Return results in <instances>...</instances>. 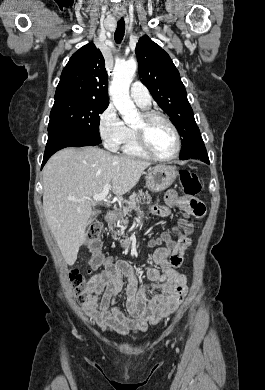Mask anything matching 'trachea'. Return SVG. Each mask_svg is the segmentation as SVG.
Segmentation results:
<instances>
[{
	"label": "trachea",
	"instance_id": "trachea-1",
	"mask_svg": "<svg viewBox=\"0 0 265 390\" xmlns=\"http://www.w3.org/2000/svg\"><path fill=\"white\" fill-rule=\"evenodd\" d=\"M124 33H125V21L123 18H121L117 23V28L114 35L116 43L118 44L121 43L124 37Z\"/></svg>",
	"mask_w": 265,
	"mask_h": 390
}]
</instances>
